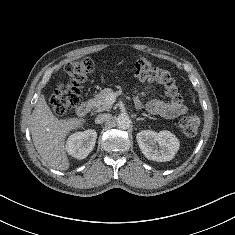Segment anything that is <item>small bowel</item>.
Instances as JSON below:
<instances>
[{"instance_id":"1","label":"small bowel","mask_w":235,"mask_h":235,"mask_svg":"<svg viewBox=\"0 0 235 235\" xmlns=\"http://www.w3.org/2000/svg\"><path fill=\"white\" fill-rule=\"evenodd\" d=\"M134 103L137 108H142L143 106L139 98H135ZM145 107L149 113L166 119L177 118L187 111L184 103L173 100L166 102L160 99H153L147 102Z\"/></svg>"}]
</instances>
